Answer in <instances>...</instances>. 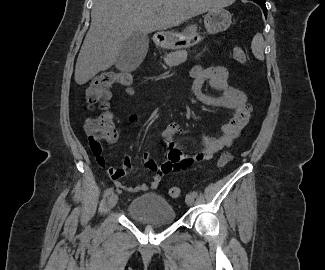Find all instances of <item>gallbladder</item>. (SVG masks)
<instances>
[{"label":"gallbladder","mask_w":325,"mask_h":270,"mask_svg":"<svg viewBox=\"0 0 325 270\" xmlns=\"http://www.w3.org/2000/svg\"><path fill=\"white\" fill-rule=\"evenodd\" d=\"M149 45L147 35L134 33L122 45L116 59V68L121 71H132L144 60Z\"/></svg>","instance_id":"gallbladder-1"}]
</instances>
